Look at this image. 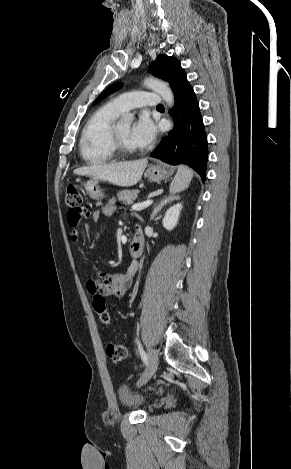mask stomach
I'll return each mask as SVG.
<instances>
[{
    "instance_id": "obj_1",
    "label": "stomach",
    "mask_w": 291,
    "mask_h": 469,
    "mask_svg": "<svg viewBox=\"0 0 291 469\" xmlns=\"http://www.w3.org/2000/svg\"><path fill=\"white\" fill-rule=\"evenodd\" d=\"M172 173V170H167L159 165H152L147 169L145 175L150 181L160 182L169 178ZM84 186L89 196L94 200L101 201L107 197L105 190L100 186L99 179L91 178Z\"/></svg>"
}]
</instances>
